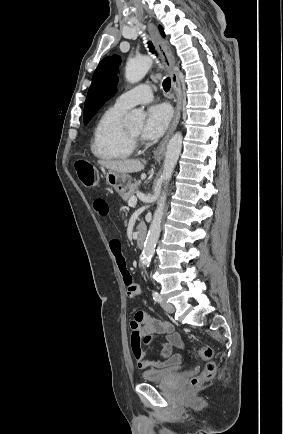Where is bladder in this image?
Here are the masks:
<instances>
[{
	"label": "bladder",
	"mask_w": 283,
	"mask_h": 434,
	"mask_svg": "<svg viewBox=\"0 0 283 434\" xmlns=\"http://www.w3.org/2000/svg\"><path fill=\"white\" fill-rule=\"evenodd\" d=\"M178 371L179 370L175 368H167V369L149 368L142 373L141 378L147 382L164 381L175 377Z\"/></svg>",
	"instance_id": "obj_1"
}]
</instances>
